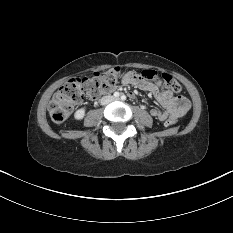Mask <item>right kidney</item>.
Returning a JSON list of instances; mask_svg holds the SVG:
<instances>
[{"label": "right kidney", "mask_w": 233, "mask_h": 233, "mask_svg": "<svg viewBox=\"0 0 233 233\" xmlns=\"http://www.w3.org/2000/svg\"><path fill=\"white\" fill-rule=\"evenodd\" d=\"M84 116H85V108L78 109L74 114V118L76 120H81L84 118Z\"/></svg>", "instance_id": "right-kidney-1"}]
</instances>
